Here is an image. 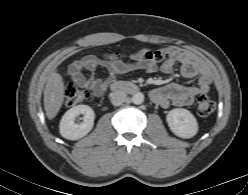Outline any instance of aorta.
<instances>
[{
  "mask_svg": "<svg viewBox=\"0 0 248 195\" xmlns=\"http://www.w3.org/2000/svg\"><path fill=\"white\" fill-rule=\"evenodd\" d=\"M144 101V94L141 92H137L132 96V102L136 105L143 103Z\"/></svg>",
  "mask_w": 248,
  "mask_h": 195,
  "instance_id": "aorta-1",
  "label": "aorta"
}]
</instances>
